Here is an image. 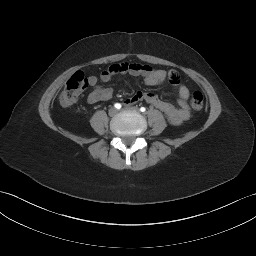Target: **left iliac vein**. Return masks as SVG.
<instances>
[{
	"mask_svg": "<svg viewBox=\"0 0 256 256\" xmlns=\"http://www.w3.org/2000/svg\"><path fill=\"white\" fill-rule=\"evenodd\" d=\"M123 111L139 113V109L137 107H126L123 109Z\"/></svg>",
	"mask_w": 256,
	"mask_h": 256,
	"instance_id": "1",
	"label": "left iliac vein"
}]
</instances>
